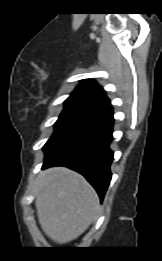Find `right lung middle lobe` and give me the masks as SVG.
<instances>
[{"instance_id": "obj_1", "label": "right lung middle lobe", "mask_w": 162, "mask_h": 261, "mask_svg": "<svg viewBox=\"0 0 162 261\" xmlns=\"http://www.w3.org/2000/svg\"><path fill=\"white\" fill-rule=\"evenodd\" d=\"M64 104L65 108L55 123L54 134L71 123L103 109L100 102L74 94H71Z\"/></svg>"}]
</instances>
